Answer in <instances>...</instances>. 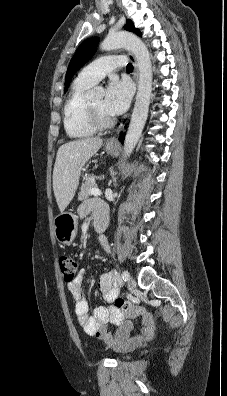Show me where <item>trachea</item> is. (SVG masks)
Here are the masks:
<instances>
[{
	"mask_svg": "<svg viewBox=\"0 0 227 396\" xmlns=\"http://www.w3.org/2000/svg\"><path fill=\"white\" fill-rule=\"evenodd\" d=\"M126 69H127L128 71H132V70H133V65H132V64H128L127 67H126Z\"/></svg>",
	"mask_w": 227,
	"mask_h": 396,
	"instance_id": "obj_1",
	"label": "trachea"
}]
</instances>
